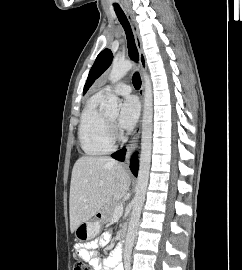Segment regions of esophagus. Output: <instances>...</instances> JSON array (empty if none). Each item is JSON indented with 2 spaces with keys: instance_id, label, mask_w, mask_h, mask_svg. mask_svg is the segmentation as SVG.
<instances>
[{
  "instance_id": "obj_1",
  "label": "esophagus",
  "mask_w": 242,
  "mask_h": 270,
  "mask_svg": "<svg viewBox=\"0 0 242 270\" xmlns=\"http://www.w3.org/2000/svg\"><path fill=\"white\" fill-rule=\"evenodd\" d=\"M126 14H127L128 20L130 22L131 28L133 30V33H134L135 42H136V46H137L138 53H139V60H140L142 72L144 74L147 70V63H146V58H145L143 48H142V43H141V39H140V35H139L138 26H137V23L135 21L134 16L132 15V13L130 12V10L128 8H126ZM139 96L141 98V104H142V108H143V103H144V77H143V75L141 77V88L139 90ZM141 122H142V116L140 117L138 124L133 132V136H132V139H131L130 144H129L130 151H134L137 147L138 140L140 137V132H141ZM129 155L130 154H128V156L126 158V161H125L126 163H129Z\"/></svg>"
}]
</instances>
